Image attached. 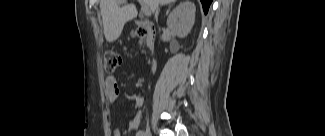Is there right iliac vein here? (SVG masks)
<instances>
[{"instance_id":"obj_1","label":"right iliac vein","mask_w":325,"mask_h":136,"mask_svg":"<svg viewBox=\"0 0 325 136\" xmlns=\"http://www.w3.org/2000/svg\"><path fill=\"white\" fill-rule=\"evenodd\" d=\"M145 133H146V136H151L150 128H147L146 131H145Z\"/></svg>"}]
</instances>
